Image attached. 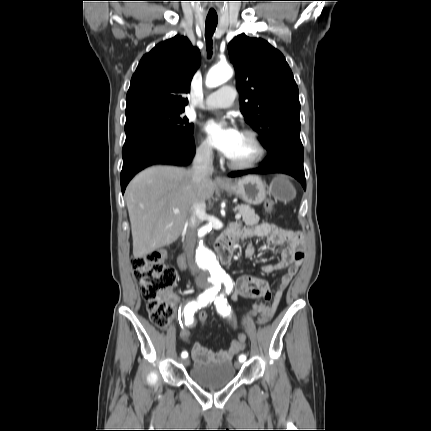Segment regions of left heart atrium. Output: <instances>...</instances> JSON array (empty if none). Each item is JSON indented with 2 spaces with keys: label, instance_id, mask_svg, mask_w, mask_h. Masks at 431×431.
Here are the masks:
<instances>
[{
  "label": "left heart atrium",
  "instance_id": "obj_1",
  "mask_svg": "<svg viewBox=\"0 0 431 431\" xmlns=\"http://www.w3.org/2000/svg\"><path fill=\"white\" fill-rule=\"evenodd\" d=\"M203 131L210 144L226 157L231 155L242 134L234 125L213 119L204 123Z\"/></svg>",
  "mask_w": 431,
  "mask_h": 431
}]
</instances>
